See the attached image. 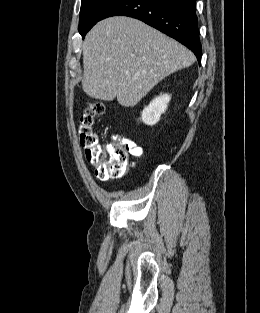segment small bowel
Instances as JSON below:
<instances>
[{
	"instance_id": "small-bowel-1",
	"label": "small bowel",
	"mask_w": 260,
	"mask_h": 313,
	"mask_svg": "<svg viewBox=\"0 0 260 313\" xmlns=\"http://www.w3.org/2000/svg\"><path fill=\"white\" fill-rule=\"evenodd\" d=\"M135 157H141L143 155V151L141 148L139 147H136L134 144H133V150L131 152Z\"/></svg>"
}]
</instances>
